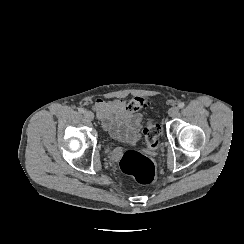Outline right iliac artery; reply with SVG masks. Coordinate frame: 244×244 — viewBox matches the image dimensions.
<instances>
[{
  "label": "right iliac artery",
  "instance_id": "82829eb1",
  "mask_svg": "<svg viewBox=\"0 0 244 244\" xmlns=\"http://www.w3.org/2000/svg\"><path fill=\"white\" fill-rule=\"evenodd\" d=\"M78 111H79V113H84L85 109L84 108H79Z\"/></svg>",
  "mask_w": 244,
  "mask_h": 244
}]
</instances>
